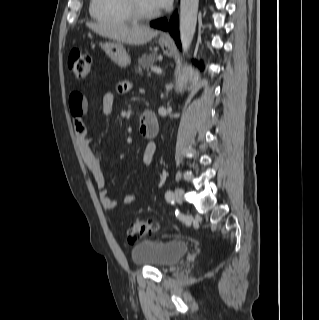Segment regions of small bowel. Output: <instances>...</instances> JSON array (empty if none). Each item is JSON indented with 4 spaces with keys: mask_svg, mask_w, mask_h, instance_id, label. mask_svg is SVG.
<instances>
[{
    "mask_svg": "<svg viewBox=\"0 0 319 320\" xmlns=\"http://www.w3.org/2000/svg\"><path fill=\"white\" fill-rule=\"evenodd\" d=\"M114 103V94H104L102 97V112L105 115L111 114L114 109ZM86 107L87 100L85 96L79 91L72 92L69 97V109L73 117V125L80 155L99 190V198L102 206L107 210H113L117 206V201L111 197L107 191L105 178L100 167L99 155L92 149V137L83 121ZM155 150L156 147L154 143L149 142L146 144L142 154V160L145 165H150L152 163ZM136 199L137 194L130 193L123 197L122 203L130 205L135 202Z\"/></svg>",
    "mask_w": 319,
    "mask_h": 320,
    "instance_id": "c3829d8e",
    "label": "small bowel"
}]
</instances>
